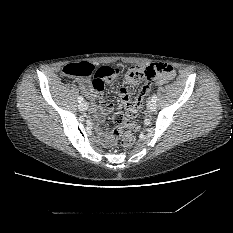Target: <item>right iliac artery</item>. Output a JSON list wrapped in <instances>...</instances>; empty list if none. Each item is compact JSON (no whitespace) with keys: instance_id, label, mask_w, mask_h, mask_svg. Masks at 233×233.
Segmentation results:
<instances>
[{"instance_id":"right-iliac-artery-1","label":"right iliac artery","mask_w":233,"mask_h":233,"mask_svg":"<svg viewBox=\"0 0 233 233\" xmlns=\"http://www.w3.org/2000/svg\"><path fill=\"white\" fill-rule=\"evenodd\" d=\"M77 99H78L79 103H81L83 101V97L82 96H79Z\"/></svg>"}]
</instances>
